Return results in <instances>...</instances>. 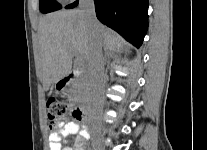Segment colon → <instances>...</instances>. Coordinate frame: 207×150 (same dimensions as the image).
<instances>
[{"instance_id":"obj_1","label":"colon","mask_w":207,"mask_h":150,"mask_svg":"<svg viewBox=\"0 0 207 150\" xmlns=\"http://www.w3.org/2000/svg\"><path fill=\"white\" fill-rule=\"evenodd\" d=\"M47 118L49 122L54 125L58 120H60L68 110V106L64 101L58 100L54 97H51L47 100ZM74 117L77 119H81V114L78 110H74Z\"/></svg>"}]
</instances>
